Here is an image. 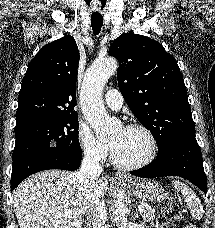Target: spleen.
Wrapping results in <instances>:
<instances>
[{
    "label": "spleen",
    "mask_w": 215,
    "mask_h": 228,
    "mask_svg": "<svg viewBox=\"0 0 215 228\" xmlns=\"http://www.w3.org/2000/svg\"><path fill=\"white\" fill-rule=\"evenodd\" d=\"M173 184L175 190H180L181 194H183L187 208L190 210L192 218H195V220H201L204 214L203 208L199 202V198H197L193 190H190L189 186L182 184V182H179V180H175Z\"/></svg>",
    "instance_id": "3e777b00"
}]
</instances>
